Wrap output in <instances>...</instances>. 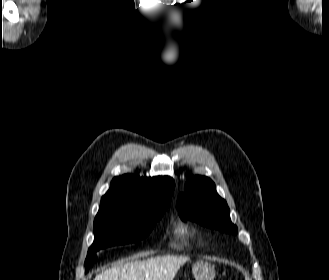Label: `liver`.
<instances>
[{
  "mask_svg": "<svg viewBox=\"0 0 329 280\" xmlns=\"http://www.w3.org/2000/svg\"><path fill=\"white\" fill-rule=\"evenodd\" d=\"M137 258L138 256L133 257L131 262H119L96 275L94 280H173L180 267L190 259L187 256L173 255L142 261Z\"/></svg>",
  "mask_w": 329,
  "mask_h": 280,
  "instance_id": "obj_1",
  "label": "liver"
}]
</instances>
